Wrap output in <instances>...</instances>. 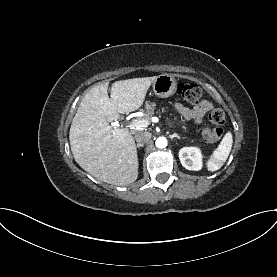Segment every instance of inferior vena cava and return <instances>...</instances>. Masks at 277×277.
<instances>
[{
  "instance_id": "inferior-vena-cava-1",
  "label": "inferior vena cava",
  "mask_w": 277,
  "mask_h": 277,
  "mask_svg": "<svg viewBox=\"0 0 277 277\" xmlns=\"http://www.w3.org/2000/svg\"><path fill=\"white\" fill-rule=\"evenodd\" d=\"M150 138H151V134L149 132H145V131L137 132L135 135V139L138 144L147 143V142H149Z\"/></svg>"
}]
</instances>
